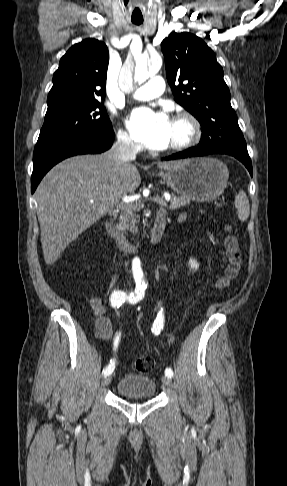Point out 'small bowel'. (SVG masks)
Listing matches in <instances>:
<instances>
[{
  "label": "small bowel",
  "instance_id": "obj_1",
  "mask_svg": "<svg viewBox=\"0 0 287 486\" xmlns=\"http://www.w3.org/2000/svg\"><path fill=\"white\" fill-rule=\"evenodd\" d=\"M187 220V214H182L178 219L180 223L186 222ZM89 303L94 315L96 316V334L98 335V337L104 340H113V342L115 343L118 334L114 333V329L110 320L105 316V309L103 307L102 301L98 297H91Z\"/></svg>",
  "mask_w": 287,
  "mask_h": 486
}]
</instances>
